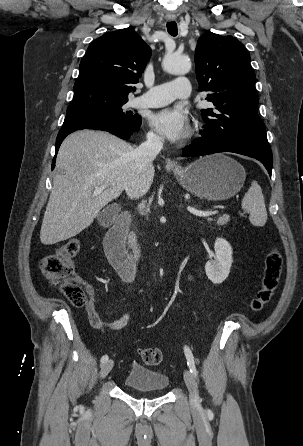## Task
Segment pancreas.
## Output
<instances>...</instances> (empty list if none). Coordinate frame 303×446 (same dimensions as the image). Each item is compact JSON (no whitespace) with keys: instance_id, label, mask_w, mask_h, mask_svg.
<instances>
[{"instance_id":"pancreas-1","label":"pancreas","mask_w":303,"mask_h":446,"mask_svg":"<svg viewBox=\"0 0 303 446\" xmlns=\"http://www.w3.org/2000/svg\"><path fill=\"white\" fill-rule=\"evenodd\" d=\"M208 221L211 222V221H213V219L212 218H208ZM228 221H229V218L227 216H222V217H219L217 219V224L218 225H225V224L228 223ZM128 239H129L130 248L136 250L137 249V243H136V235H135V233L131 232L129 234Z\"/></svg>"}]
</instances>
